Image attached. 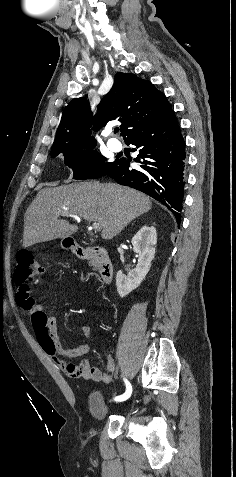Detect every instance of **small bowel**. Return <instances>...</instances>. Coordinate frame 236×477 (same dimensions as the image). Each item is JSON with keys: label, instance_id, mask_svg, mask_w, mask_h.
<instances>
[{"label": "small bowel", "instance_id": "obj_1", "mask_svg": "<svg viewBox=\"0 0 236 477\" xmlns=\"http://www.w3.org/2000/svg\"><path fill=\"white\" fill-rule=\"evenodd\" d=\"M31 318L33 332L46 355L51 361L66 375L77 379H90L95 382L109 383L112 380L114 369L113 358L109 351H105L107 366L105 371L90 365L87 360H83L79 365L66 361L87 355L90 351L88 344H82L76 348H67L59 340L56 327L55 316L46 311L43 306L33 300L28 299L25 307ZM80 331L86 339H90L92 330L90 326H80Z\"/></svg>", "mask_w": 236, "mask_h": 477}]
</instances>
